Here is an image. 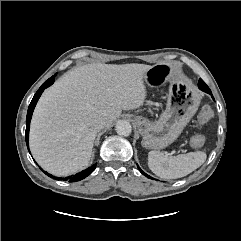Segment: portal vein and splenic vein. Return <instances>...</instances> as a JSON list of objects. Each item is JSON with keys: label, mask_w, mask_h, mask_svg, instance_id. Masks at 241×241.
Segmentation results:
<instances>
[{"label": "portal vein and splenic vein", "mask_w": 241, "mask_h": 241, "mask_svg": "<svg viewBox=\"0 0 241 241\" xmlns=\"http://www.w3.org/2000/svg\"><path fill=\"white\" fill-rule=\"evenodd\" d=\"M176 151H172V154H174Z\"/></svg>", "instance_id": "portal-vein-and-splenic-vein-1"}]
</instances>
